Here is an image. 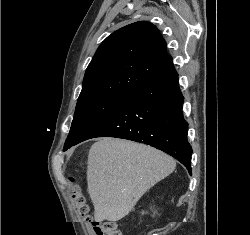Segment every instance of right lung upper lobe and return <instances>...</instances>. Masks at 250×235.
I'll list each match as a JSON object with an SVG mask.
<instances>
[{
    "instance_id": "obj_1",
    "label": "right lung upper lobe",
    "mask_w": 250,
    "mask_h": 235,
    "mask_svg": "<svg viewBox=\"0 0 250 235\" xmlns=\"http://www.w3.org/2000/svg\"><path fill=\"white\" fill-rule=\"evenodd\" d=\"M171 64L157 27L146 21L132 23L100 44L78 99L98 93L134 94Z\"/></svg>"
}]
</instances>
